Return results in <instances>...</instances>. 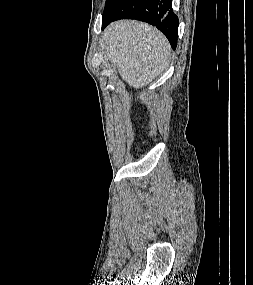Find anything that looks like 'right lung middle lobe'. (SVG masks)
<instances>
[{
  "label": "right lung middle lobe",
  "mask_w": 253,
  "mask_h": 285,
  "mask_svg": "<svg viewBox=\"0 0 253 285\" xmlns=\"http://www.w3.org/2000/svg\"><path fill=\"white\" fill-rule=\"evenodd\" d=\"M113 1H114V0H106L104 12L109 8V6L111 5V3H112ZM104 12H103V13H104Z\"/></svg>",
  "instance_id": "dd1d6c3e"
}]
</instances>
